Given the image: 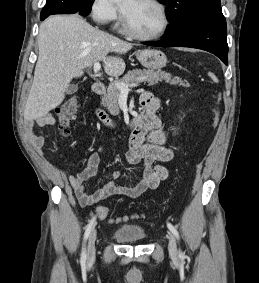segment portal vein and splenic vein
<instances>
[{"label":"portal vein and splenic vein","instance_id":"1","mask_svg":"<svg viewBox=\"0 0 259 283\" xmlns=\"http://www.w3.org/2000/svg\"><path fill=\"white\" fill-rule=\"evenodd\" d=\"M101 68V64L99 62L94 63V73L95 75H99ZM114 85L120 90L121 93H128L129 92V87H137L138 84H125L123 82H116Z\"/></svg>","mask_w":259,"mask_h":283}]
</instances>
